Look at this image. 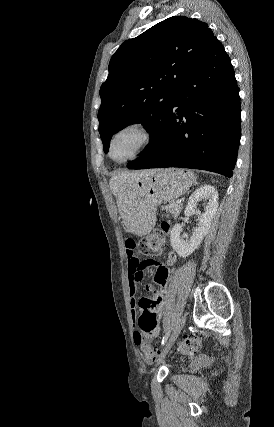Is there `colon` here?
<instances>
[{
	"mask_svg": "<svg viewBox=\"0 0 274 427\" xmlns=\"http://www.w3.org/2000/svg\"><path fill=\"white\" fill-rule=\"evenodd\" d=\"M169 225L162 223L155 227L149 235L142 238L139 244L136 246L135 257H138V261L147 260V257L153 253L157 254L158 248H166L165 242L169 232ZM200 348V341L194 337H187L177 347L176 351L184 355L193 354ZM141 359H145L147 364H156L157 356L155 351L151 349L150 345H143L140 352Z\"/></svg>",
	"mask_w": 274,
	"mask_h": 427,
	"instance_id": "5ec220e1",
	"label": "colon"
}]
</instances>
